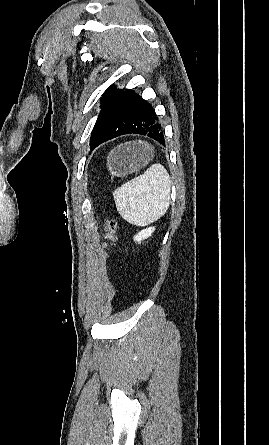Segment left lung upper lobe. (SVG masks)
Segmentation results:
<instances>
[{"label":"left lung upper lobe","mask_w":269,"mask_h":445,"mask_svg":"<svg viewBox=\"0 0 269 445\" xmlns=\"http://www.w3.org/2000/svg\"><path fill=\"white\" fill-rule=\"evenodd\" d=\"M123 91H124L123 89L117 90L115 85H111L109 88L106 89L105 93L102 95L101 111L98 115L97 121L92 130L90 147H92V144L95 141L96 137L99 135L101 130L106 125L108 119L110 118L118 102L120 101Z\"/></svg>","instance_id":"obj_1"}]
</instances>
